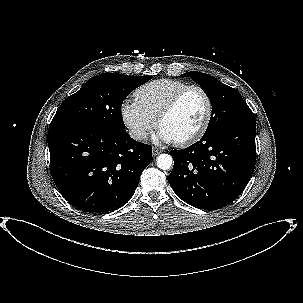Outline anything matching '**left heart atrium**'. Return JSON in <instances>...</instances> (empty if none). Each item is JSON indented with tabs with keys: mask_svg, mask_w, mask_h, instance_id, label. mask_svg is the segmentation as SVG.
Returning <instances> with one entry per match:
<instances>
[{
	"mask_svg": "<svg viewBox=\"0 0 303 303\" xmlns=\"http://www.w3.org/2000/svg\"><path fill=\"white\" fill-rule=\"evenodd\" d=\"M155 139L163 142H173L175 141L174 138L164 129L160 128L156 135Z\"/></svg>",
	"mask_w": 303,
	"mask_h": 303,
	"instance_id": "left-heart-atrium-1",
	"label": "left heart atrium"
}]
</instances>
